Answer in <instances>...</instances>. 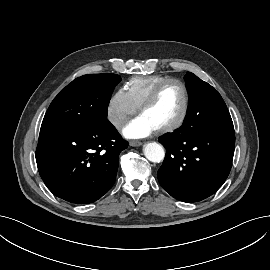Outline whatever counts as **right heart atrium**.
<instances>
[{"label":"right heart atrium","instance_id":"d8ad5b80","mask_svg":"<svg viewBox=\"0 0 270 270\" xmlns=\"http://www.w3.org/2000/svg\"><path fill=\"white\" fill-rule=\"evenodd\" d=\"M136 111L137 107L132 103L127 93L123 89H118L109 97L106 117L115 129L120 130Z\"/></svg>","mask_w":270,"mask_h":270}]
</instances>
